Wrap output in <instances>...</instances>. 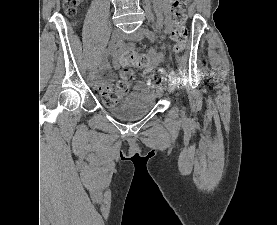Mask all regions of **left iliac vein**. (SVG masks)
Listing matches in <instances>:
<instances>
[{
	"label": "left iliac vein",
	"mask_w": 277,
	"mask_h": 225,
	"mask_svg": "<svg viewBox=\"0 0 277 225\" xmlns=\"http://www.w3.org/2000/svg\"><path fill=\"white\" fill-rule=\"evenodd\" d=\"M144 36H145V29L140 28L133 33L124 35L123 37L133 41H141L144 38ZM175 89H176V80L173 77H170L168 91L170 93H173Z\"/></svg>",
	"instance_id": "1"
}]
</instances>
